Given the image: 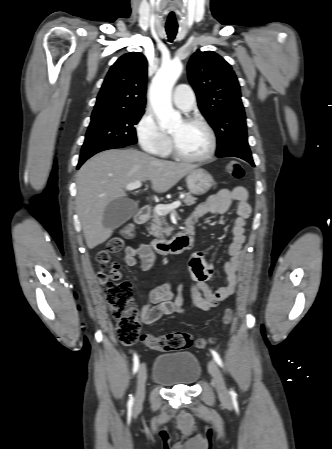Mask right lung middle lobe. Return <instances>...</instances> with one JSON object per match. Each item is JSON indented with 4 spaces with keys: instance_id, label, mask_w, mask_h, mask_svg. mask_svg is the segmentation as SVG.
Masks as SVG:
<instances>
[{
    "instance_id": "dd1d6c3e",
    "label": "right lung middle lobe",
    "mask_w": 332,
    "mask_h": 449,
    "mask_svg": "<svg viewBox=\"0 0 332 449\" xmlns=\"http://www.w3.org/2000/svg\"><path fill=\"white\" fill-rule=\"evenodd\" d=\"M143 114L144 110L92 114L81 153L104 145L135 144L137 137L134 125Z\"/></svg>"
}]
</instances>
